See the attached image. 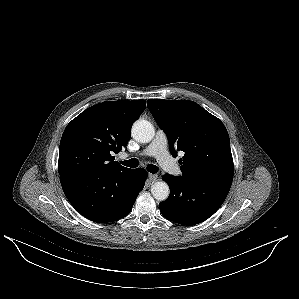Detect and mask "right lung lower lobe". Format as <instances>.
I'll list each match as a JSON object with an SVG mask.
<instances>
[{
  "label": "right lung lower lobe",
  "instance_id": "obj_1",
  "mask_svg": "<svg viewBox=\"0 0 299 299\" xmlns=\"http://www.w3.org/2000/svg\"><path fill=\"white\" fill-rule=\"evenodd\" d=\"M146 178V170L138 168L92 177H63L60 182L65 196L81 215L105 223L130 213Z\"/></svg>",
  "mask_w": 299,
  "mask_h": 299
}]
</instances>
